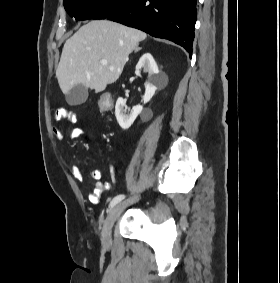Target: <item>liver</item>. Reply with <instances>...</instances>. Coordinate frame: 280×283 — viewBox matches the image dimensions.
<instances>
[{
    "mask_svg": "<svg viewBox=\"0 0 280 283\" xmlns=\"http://www.w3.org/2000/svg\"><path fill=\"white\" fill-rule=\"evenodd\" d=\"M147 37L138 29L107 20L83 25L64 44L56 77L64 94L81 84L103 91L121 75L129 55ZM107 60V65L101 64Z\"/></svg>",
    "mask_w": 280,
    "mask_h": 283,
    "instance_id": "liver-1",
    "label": "liver"
}]
</instances>
